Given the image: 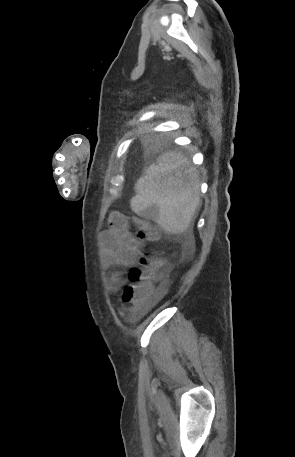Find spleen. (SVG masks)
Returning a JSON list of instances; mask_svg holds the SVG:
<instances>
[{"label":"spleen","mask_w":295,"mask_h":457,"mask_svg":"<svg viewBox=\"0 0 295 457\" xmlns=\"http://www.w3.org/2000/svg\"><path fill=\"white\" fill-rule=\"evenodd\" d=\"M199 177L181 153L167 152L135 186L131 209L154 220L170 234L184 232L199 204Z\"/></svg>","instance_id":"spleen-1"}]
</instances>
